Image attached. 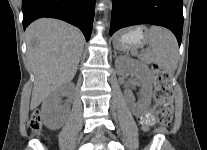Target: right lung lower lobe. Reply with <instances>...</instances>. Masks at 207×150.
<instances>
[{
	"instance_id": "right-lung-lower-lobe-1",
	"label": "right lung lower lobe",
	"mask_w": 207,
	"mask_h": 150,
	"mask_svg": "<svg viewBox=\"0 0 207 150\" xmlns=\"http://www.w3.org/2000/svg\"><path fill=\"white\" fill-rule=\"evenodd\" d=\"M95 0H22L23 28L42 17L77 26L88 41L92 31Z\"/></svg>"
}]
</instances>
